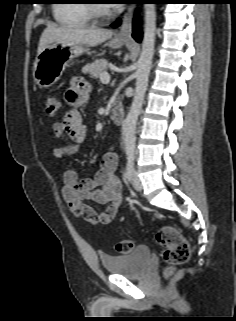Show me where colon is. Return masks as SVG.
I'll return each mask as SVG.
<instances>
[{
    "mask_svg": "<svg viewBox=\"0 0 236 321\" xmlns=\"http://www.w3.org/2000/svg\"><path fill=\"white\" fill-rule=\"evenodd\" d=\"M44 107L46 114L53 117L60 109L59 100L55 96H46ZM156 242L164 249L163 257L167 264L166 276H170L176 267L188 261L191 254L190 245L176 227L162 226L156 233ZM133 246L131 240H121L116 244V250L121 254H128Z\"/></svg>",
    "mask_w": 236,
    "mask_h": 321,
    "instance_id": "5ec220e1",
    "label": "colon"
}]
</instances>
